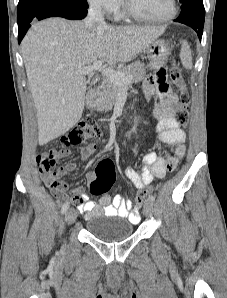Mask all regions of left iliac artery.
Masks as SVG:
<instances>
[{"label":"left iliac artery","mask_w":227,"mask_h":298,"mask_svg":"<svg viewBox=\"0 0 227 298\" xmlns=\"http://www.w3.org/2000/svg\"><path fill=\"white\" fill-rule=\"evenodd\" d=\"M148 200L153 202V201L155 200V197H154L153 195H150V196L148 197Z\"/></svg>","instance_id":"obj_1"}]
</instances>
